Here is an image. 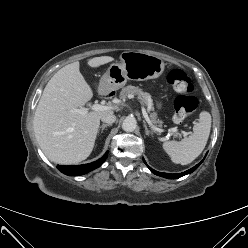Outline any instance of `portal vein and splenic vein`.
<instances>
[{"label": "portal vein and splenic vein", "instance_id": "1", "mask_svg": "<svg viewBox=\"0 0 248 248\" xmlns=\"http://www.w3.org/2000/svg\"><path fill=\"white\" fill-rule=\"evenodd\" d=\"M128 98L130 99H134V95L130 94L128 95ZM91 110H94V111H106V110H111V109H115L114 107L112 106H103V105H100V104H94L91 106L90 108ZM142 109V114L146 120V122L149 124V126L154 130V131H157L159 133H162L164 130L163 129H160L158 127H156L152 121L150 120L149 116H148V113L146 112V110L144 109V107L142 106L141 107ZM88 110L87 108H80V109H72L71 112L72 113H77V114H81V115H85L88 113ZM178 130L176 128H171L169 129V132H177Z\"/></svg>", "mask_w": 248, "mask_h": 248}]
</instances>
